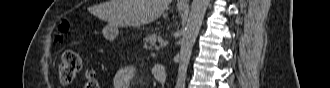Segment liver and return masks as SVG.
<instances>
[{
    "label": "liver",
    "mask_w": 330,
    "mask_h": 88,
    "mask_svg": "<svg viewBox=\"0 0 330 88\" xmlns=\"http://www.w3.org/2000/svg\"><path fill=\"white\" fill-rule=\"evenodd\" d=\"M172 0H109L100 6L98 16L110 25L140 26L161 16Z\"/></svg>",
    "instance_id": "1"
}]
</instances>
